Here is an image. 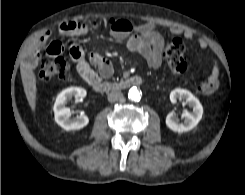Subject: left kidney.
Listing matches in <instances>:
<instances>
[{"label":"left kidney","instance_id":"5707ae66","mask_svg":"<svg viewBox=\"0 0 245 195\" xmlns=\"http://www.w3.org/2000/svg\"><path fill=\"white\" fill-rule=\"evenodd\" d=\"M185 100L192 108V112L182 114L184 123H180L174 113L170 112L166 117V125L174 132L182 133L192 130L202 119L203 107L200 101L188 90L176 88L170 93V101L176 103L177 100Z\"/></svg>","mask_w":245,"mask_h":195}]
</instances>
